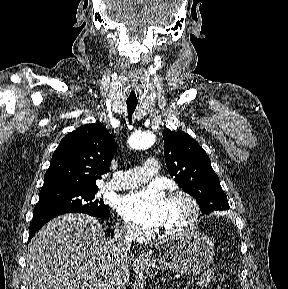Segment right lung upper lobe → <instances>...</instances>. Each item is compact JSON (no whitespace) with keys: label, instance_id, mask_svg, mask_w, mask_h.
I'll return each instance as SVG.
<instances>
[{"label":"right lung upper lobe","instance_id":"cb5924a9","mask_svg":"<svg viewBox=\"0 0 288 289\" xmlns=\"http://www.w3.org/2000/svg\"><path fill=\"white\" fill-rule=\"evenodd\" d=\"M115 140L103 124H86L66 135L44 175L43 188L97 187L109 171Z\"/></svg>","mask_w":288,"mask_h":289}]
</instances>
